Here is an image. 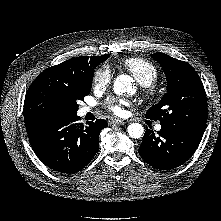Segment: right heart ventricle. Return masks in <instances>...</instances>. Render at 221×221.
<instances>
[{
	"mask_svg": "<svg viewBox=\"0 0 221 221\" xmlns=\"http://www.w3.org/2000/svg\"><path fill=\"white\" fill-rule=\"evenodd\" d=\"M121 65L144 87L152 85L158 79V69L144 58L129 57L122 60Z\"/></svg>",
	"mask_w": 221,
	"mask_h": 221,
	"instance_id": "e07e8e85",
	"label": "right heart ventricle"
}]
</instances>
